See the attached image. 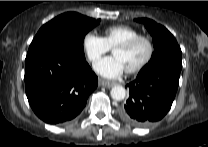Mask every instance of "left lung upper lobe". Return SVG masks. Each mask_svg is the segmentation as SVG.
Returning a JSON list of instances; mask_svg holds the SVG:
<instances>
[{"instance_id": "5c2ea615", "label": "left lung upper lobe", "mask_w": 208, "mask_h": 147, "mask_svg": "<svg viewBox=\"0 0 208 147\" xmlns=\"http://www.w3.org/2000/svg\"><path fill=\"white\" fill-rule=\"evenodd\" d=\"M152 36L154 53L151 60L140 72H145L162 64H172L182 68V52L174 36L162 25L148 18H138Z\"/></svg>"}]
</instances>
